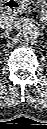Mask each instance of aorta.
Returning a JSON list of instances; mask_svg holds the SVG:
<instances>
[{"mask_svg":"<svg viewBox=\"0 0 47 129\" xmlns=\"http://www.w3.org/2000/svg\"><path fill=\"white\" fill-rule=\"evenodd\" d=\"M21 36L27 41H34L39 37V28L33 22H25L20 28Z\"/></svg>","mask_w":47,"mask_h":129,"instance_id":"762f6f07","label":"aorta"}]
</instances>
